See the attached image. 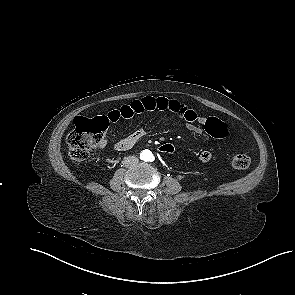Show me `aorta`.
<instances>
[{
  "mask_svg": "<svg viewBox=\"0 0 295 295\" xmlns=\"http://www.w3.org/2000/svg\"><path fill=\"white\" fill-rule=\"evenodd\" d=\"M142 158L146 162H151V161L154 160V156H153L152 152L149 151V150H146V151L143 152Z\"/></svg>",
  "mask_w": 295,
  "mask_h": 295,
  "instance_id": "1",
  "label": "aorta"
}]
</instances>
